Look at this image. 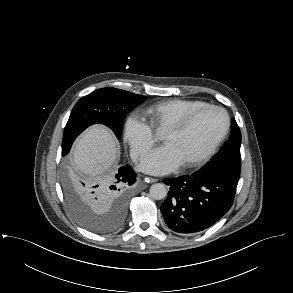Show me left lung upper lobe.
Returning <instances> with one entry per match:
<instances>
[{
  "label": "left lung upper lobe",
  "instance_id": "1",
  "mask_svg": "<svg viewBox=\"0 0 293 293\" xmlns=\"http://www.w3.org/2000/svg\"><path fill=\"white\" fill-rule=\"evenodd\" d=\"M240 146L241 132L235 119L232 118L229 140L202 169H216L239 178L241 170Z\"/></svg>",
  "mask_w": 293,
  "mask_h": 293
}]
</instances>
